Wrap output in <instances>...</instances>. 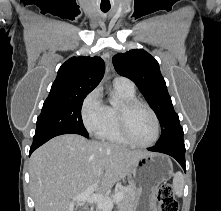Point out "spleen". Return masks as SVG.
<instances>
[{
	"instance_id": "3e777b00",
	"label": "spleen",
	"mask_w": 221,
	"mask_h": 211,
	"mask_svg": "<svg viewBox=\"0 0 221 211\" xmlns=\"http://www.w3.org/2000/svg\"><path fill=\"white\" fill-rule=\"evenodd\" d=\"M184 189V177L181 172H177L174 174L173 178V190L178 197L182 196Z\"/></svg>"
}]
</instances>
